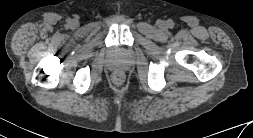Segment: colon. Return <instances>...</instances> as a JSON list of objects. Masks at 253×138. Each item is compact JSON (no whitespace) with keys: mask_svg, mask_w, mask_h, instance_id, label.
Wrapping results in <instances>:
<instances>
[{"mask_svg":"<svg viewBox=\"0 0 253 138\" xmlns=\"http://www.w3.org/2000/svg\"><path fill=\"white\" fill-rule=\"evenodd\" d=\"M113 80L115 83L119 84L122 82L123 80V77L120 73H115L114 76H113Z\"/></svg>","mask_w":253,"mask_h":138,"instance_id":"5ec220e1","label":"colon"}]
</instances>
